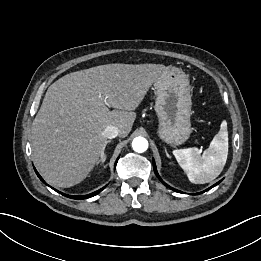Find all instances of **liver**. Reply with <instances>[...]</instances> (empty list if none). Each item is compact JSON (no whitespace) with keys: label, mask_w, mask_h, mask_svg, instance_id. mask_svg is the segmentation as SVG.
I'll return each mask as SVG.
<instances>
[{"label":"liver","mask_w":261,"mask_h":261,"mask_svg":"<svg viewBox=\"0 0 261 261\" xmlns=\"http://www.w3.org/2000/svg\"><path fill=\"white\" fill-rule=\"evenodd\" d=\"M168 71L162 64H106L51 84L32 123L33 159L46 182L66 188L83 181L104 154V129L116 126L125 138L134 110Z\"/></svg>","instance_id":"6515ba94"}]
</instances>
